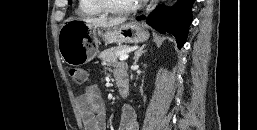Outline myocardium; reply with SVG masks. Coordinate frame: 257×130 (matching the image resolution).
Here are the masks:
<instances>
[{
    "mask_svg": "<svg viewBox=\"0 0 257 130\" xmlns=\"http://www.w3.org/2000/svg\"><path fill=\"white\" fill-rule=\"evenodd\" d=\"M93 3L101 9L103 12H108L112 14H129L137 11L141 6L144 0H139L136 2L134 5L129 6V7H117L110 3L109 0H92Z\"/></svg>",
    "mask_w": 257,
    "mask_h": 130,
    "instance_id": "myocardium-1",
    "label": "myocardium"
}]
</instances>
